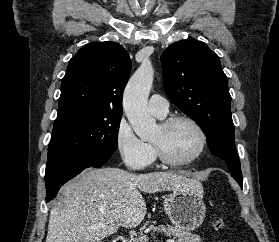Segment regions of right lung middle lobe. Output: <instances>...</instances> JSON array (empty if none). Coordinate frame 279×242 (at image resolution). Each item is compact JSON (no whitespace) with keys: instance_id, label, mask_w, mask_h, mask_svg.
<instances>
[{"instance_id":"right-lung-middle-lobe-1","label":"right lung middle lobe","mask_w":279,"mask_h":242,"mask_svg":"<svg viewBox=\"0 0 279 242\" xmlns=\"http://www.w3.org/2000/svg\"><path fill=\"white\" fill-rule=\"evenodd\" d=\"M122 115L74 110L57 115L50 141L46 172L89 153L113 154Z\"/></svg>"}]
</instances>
